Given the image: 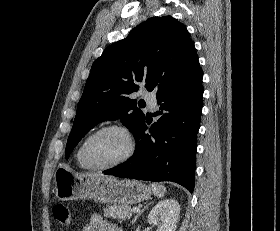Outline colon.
Returning <instances> with one entry per match:
<instances>
[{"instance_id": "1", "label": "colon", "mask_w": 280, "mask_h": 231, "mask_svg": "<svg viewBox=\"0 0 280 231\" xmlns=\"http://www.w3.org/2000/svg\"><path fill=\"white\" fill-rule=\"evenodd\" d=\"M55 215L57 216V220H61V225H74L75 221L71 220V215H69V210L66 206L58 205L57 208L54 209Z\"/></svg>"}]
</instances>
